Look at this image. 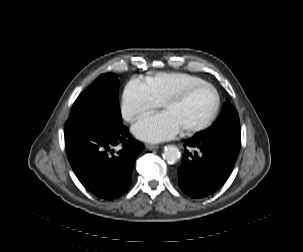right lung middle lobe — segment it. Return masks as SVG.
<instances>
[{
  "label": "right lung middle lobe",
  "instance_id": "obj_1",
  "mask_svg": "<svg viewBox=\"0 0 303 252\" xmlns=\"http://www.w3.org/2000/svg\"><path fill=\"white\" fill-rule=\"evenodd\" d=\"M119 82L115 74H102L76 99L71 118H92L122 124L118 100Z\"/></svg>",
  "mask_w": 303,
  "mask_h": 252
}]
</instances>
